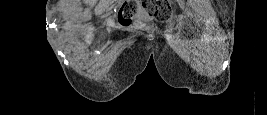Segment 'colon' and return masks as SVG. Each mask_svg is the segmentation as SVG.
<instances>
[{"label": "colon", "mask_w": 267, "mask_h": 115, "mask_svg": "<svg viewBox=\"0 0 267 115\" xmlns=\"http://www.w3.org/2000/svg\"><path fill=\"white\" fill-rule=\"evenodd\" d=\"M141 8L158 22H166L172 15L169 0H130L120 7L118 22L124 26H143V21L139 19Z\"/></svg>", "instance_id": "colon-1"}]
</instances>
